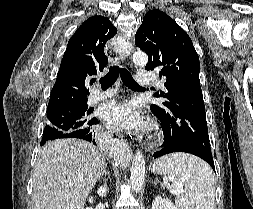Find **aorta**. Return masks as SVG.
I'll return each mask as SVG.
<instances>
[{"mask_svg":"<svg viewBox=\"0 0 253 209\" xmlns=\"http://www.w3.org/2000/svg\"><path fill=\"white\" fill-rule=\"evenodd\" d=\"M133 62L138 66H145L148 62V56L143 52H135L133 54ZM145 180V159L142 152L137 151L131 166L130 181L132 190L140 192L143 188Z\"/></svg>","mask_w":253,"mask_h":209,"instance_id":"1","label":"aorta"}]
</instances>
